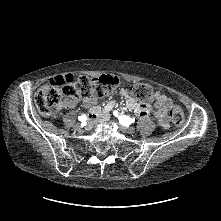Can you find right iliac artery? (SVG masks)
Wrapping results in <instances>:
<instances>
[{"mask_svg": "<svg viewBox=\"0 0 221 221\" xmlns=\"http://www.w3.org/2000/svg\"><path fill=\"white\" fill-rule=\"evenodd\" d=\"M86 119H87V117L85 115H82V116L78 117V120L81 121V122L86 121Z\"/></svg>", "mask_w": 221, "mask_h": 221, "instance_id": "right-iliac-artery-1", "label": "right iliac artery"}]
</instances>
